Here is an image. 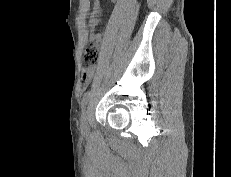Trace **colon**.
I'll list each match as a JSON object with an SVG mask.
<instances>
[{
  "instance_id": "colon-1",
  "label": "colon",
  "mask_w": 231,
  "mask_h": 177,
  "mask_svg": "<svg viewBox=\"0 0 231 177\" xmlns=\"http://www.w3.org/2000/svg\"><path fill=\"white\" fill-rule=\"evenodd\" d=\"M83 59L87 68L95 66L99 61V52L94 44H89L84 49Z\"/></svg>"
}]
</instances>
